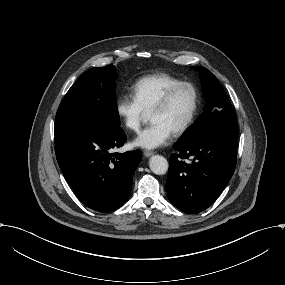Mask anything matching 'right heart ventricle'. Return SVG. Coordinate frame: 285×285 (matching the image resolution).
Returning <instances> with one entry per match:
<instances>
[{
  "label": "right heart ventricle",
  "instance_id": "obj_1",
  "mask_svg": "<svg viewBox=\"0 0 285 285\" xmlns=\"http://www.w3.org/2000/svg\"><path fill=\"white\" fill-rule=\"evenodd\" d=\"M179 81V78L167 73L148 75L136 82L134 93L144 109L149 112L165 91Z\"/></svg>",
  "mask_w": 285,
  "mask_h": 285
}]
</instances>
